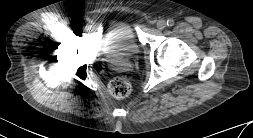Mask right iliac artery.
<instances>
[{"label":"right iliac artery","instance_id":"82829eb1","mask_svg":"<svg viewBox=\"0 0 253 138\" xmlns=\"http://www.w3.org/2000/svg\"><path fill=\"white\" fill-rule=\"evenodd\" d=\"M70 23H71V20H70L69 18H66V19L64 20V24H65L66 26H69Z\"/></svg>","mask_w":253,"mask_h":138}]
</instances>
